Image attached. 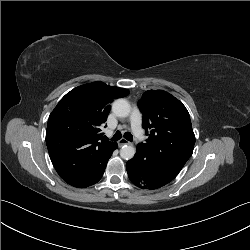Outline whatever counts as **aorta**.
I'll use <instances>...</instances> for the list:
<instances>
[{"label": "aorta", "mask_w": 250, "mask_h": 250, "mask_svg": "<svg viewBox=\"0 0 250 250\" xmlns=\"http://www.w3.org/2000/svg\"><path fill=\"white\" fill-rule=\"evenodd\" d=\"M112 111L118 117H127L130 114L131 108L127 100L119 98L112 104ZM135 155V148L131 145H124L120 149V156L125 160H130Z\"/></svg>", "instance_id": "1"}]
</instances>
